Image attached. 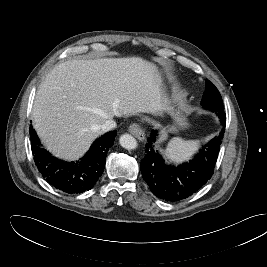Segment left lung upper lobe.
I'll list each match as a JSON object with an SVG mask.
<instances>
[{
	"instance_id": "obj_1",
	"label": "left lung upper lobe",
	"mask_w": 267,
	"mask_h": 267,
	"mask_svg": "<svg viewBox=\"0 0 267 267\" xmlns=\"http://www.w3.org/2000/svg\"><path fill=\"white\" fill-rule=\"evenodd\" d=\"M206 88L203 94L202 105L212 111L224 110L222 97L217 88L206 80Z\"/></svg>"
}]
</instances>
